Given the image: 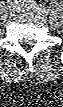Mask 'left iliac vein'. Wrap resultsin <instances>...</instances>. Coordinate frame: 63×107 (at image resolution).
I'll use <instances>...</instances> for the list:
<instances>
[{
  "label": "left iliac vein",
  "instance_id": "4c4485c4",
  "mask_svg": "<svg viewBox=\"0 0 63 107\" xmlns=\"http://www.w3.org/2000/svg\"><path fill=\"white\" fill-rule=\"evenodd\" d=\"M17 12H19V13H28L29 10H28L27 7H24V6H18V7H17Z\"/></svg>",
  "mask_w": 63,
  "mask_h": 107
}]
</instances>
